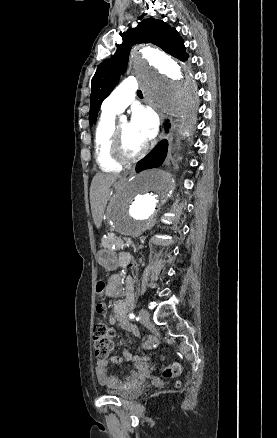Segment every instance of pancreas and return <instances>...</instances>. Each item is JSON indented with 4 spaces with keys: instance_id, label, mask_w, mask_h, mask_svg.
I'll use <instances>...</instances> for the list:
<instances>
[{
    "instance_id": "obj_1",
    "label": "pancreas",
    "mask_w": 277,
    "mask_h": 438,
    "mask_svg": "<svg viewBox=\"0 0 277 438\" xmlns=\"http://www.w3.org/2000/svg\"><path fill=\"white\" fill-rule=\"evenodd\" d=\"M118 234L115 231H105L102 245L104 248H124V239L117 238Z\"/></svg>"
}]
</instances>
